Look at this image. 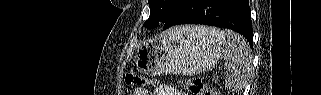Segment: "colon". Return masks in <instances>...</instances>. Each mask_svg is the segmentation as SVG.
Here are the masks:
<instances>
[{"label": "colon", "mask_w": 321, "mask_h": 95, "mask_svg": "<svg viewBox=\"0 0 321 95\" xmlns=\"http://www.w3.org/2000/svg\"><path fill=\"white\" fill-rule=\"evenodd\" d=\"M123 79L127 85L135 87H148L155 84V80L145 78L129 71L123 74ZM182 84L184 88L191 94L219 95L215 89L211 88L200 79H185L182 81Z\"/></svg>", "instance_id": "1"}]
</instances>
